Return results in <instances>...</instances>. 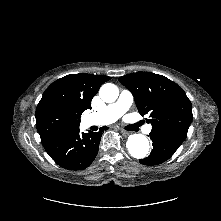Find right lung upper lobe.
<instances>
[{"mask_svg": "<svg viewBox=\"0 0 221 221\" xmlns=\"http://www.w3.org/2000/svg\"><path fill=\"white\" fill-rule=\"evenodd\" d=\"M111 77L93 74H71L53 82L43 93L36 108V121L55 109L69 113L78 123L86 109H91V100L101 85ZM79 129L78 127L75 129ZM48 142L42 143L46 144Z\"/></svg>", "mask_w": 221, "mask_h": 221, "instance_id": "cb5924a9", "label": "right lung upper lobe"}]
</instances>
